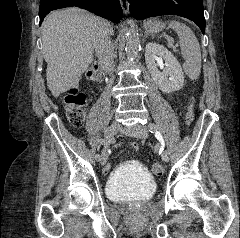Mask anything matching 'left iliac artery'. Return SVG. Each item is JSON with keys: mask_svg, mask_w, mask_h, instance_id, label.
I'll return each mask as SVG.
<instances>
[{"mask_svg": "<svg viewBox=\"0 0 240 238\" xmlns=\"http://www.w3.org/2000/svg\"><path fill=\"white\" fill-rule=\"evenodd\" d=\"M155 129H157L156 128V126L154 125V124H149L148 125V130L151 132V133H154L155 132ZM161 154L162 155H167L168 154V151H167V149L166 148H163L162 149V151H161Z\"/></svg>", "mask_w": 240, "mask_h": 238, "instance_id": "1", "label": "left iliac artery"}]
</instances>
